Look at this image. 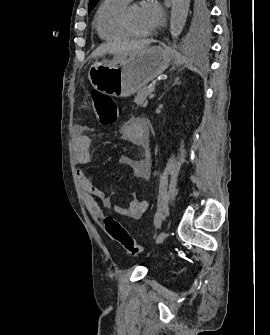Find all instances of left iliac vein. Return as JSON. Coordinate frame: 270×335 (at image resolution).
Segmentation results:
<instances>
[{
    "mask_svg": "<svg viewBox=\"0 0 270 335\" xmlns=\"http://www.w3.org/2000/svg\"><path fill=\"white\" fill-rule=\"evenodd\" d=\"M165 238H166V232H165V231H162V232L158 235V237H157V239H156V244H160V243H162V242L164 241Z\"/></svg>",
    "mask_w": 270,
    "mask_h": 335,
    "instance_id": "left-iliac-vein-1",
    "label": "left iliac vein"
}]
</instances>
